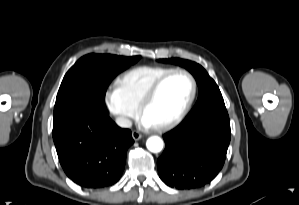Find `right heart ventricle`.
<instances>
[{
	"label": "right heart ventricle",
	"instance_id": "right-heart-ventricle-1",
	"mask_svg": "<svg viewBox=\"0 0 299 205\" xmlns=\"http://www.w3.org/2000/svg\"><path fill=\"white\" fill-rule=\"evenodd\" d=\"M173 70L163 66H138L123 73L116 81V86L126 102L137 109L149 88L161 76Z\"/></svg>",
	"mask_w": 299,
	"mask_h": 205
}]
</instances>
